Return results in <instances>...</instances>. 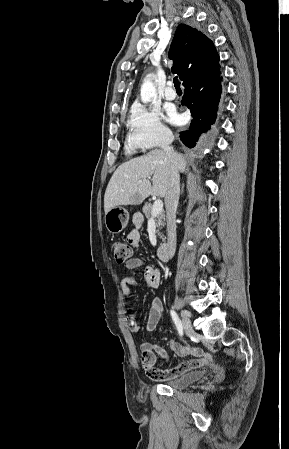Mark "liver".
<instances>
[{
    "instance_id": "1",
    "label": "liver",
    "mask_w": 289,
    "mask_h": 449,
    "mask_svg": "<svg viewBox=\"0 0 289 449\" xmlns=\"http://www.w3.org/2000/svg\"><path fill=\"white\" fill-rule=\"evenodd\" d=\"M173 162L179 172L185 171L186 161L182 154L173 152ZM170 169L171 158L160 149L121 164L113 173L105 191V214L116 206L139 205L149 195L165 197Z\"/></svg>"
}]
</instances>
